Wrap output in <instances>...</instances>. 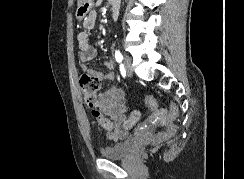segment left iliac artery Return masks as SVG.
I'll return each instance as SVG.
<instances>
[{
    "instance_id": "44dca946",
    "label": "left iliac artery",
    "mask_w": 244,
    "mask_h": 179,
    "mask_svg": "<svg viewBox=\"0 0 244 179\" xmlns=\"http://www.w3.org/2000/svg\"><path fill=\"white\" fill-rule=\"evenodd\" d=\"M115 59H116V61L119 62V63L123 60V56H122V54L120 53L119 50H116V51H115Z\"/></svg>"
}]
</instances>
